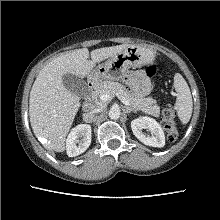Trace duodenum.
I'll list each match as a JSON object with an SVG mask.
<instances>
[{"instance_id": "410a0bca", "label": "duodenum", "mask_w": 220, "mask_h": 220, "mask_svg": "<svg viewBox=\"0 0 220 220\" xmlns=\"http://www.w3.org/2000/svg\"><path fill=\"white\" fill-rule=\"evenodd\" d=\"M96 83L93 80L88 82V100L85 104L86 112L96 108Z\"/></svg>"}]
</instances>
